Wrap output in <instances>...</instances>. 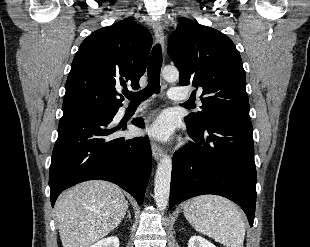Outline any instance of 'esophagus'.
<instances>
[{"instance_id":"1","label":"esophagus","mask_w":310,"mask_h":247,"mask_svg":"<svg viewBox=\"0 0 310 247\" xmlns=\"http://www.w3.org/2000/svg\"><path fill=\"white\" fill-rule=\"evenodd\" d=\"M153 31H154V34H155V38L156 40L161 44L163 45V42H164V32H163V27L161 25L160 22L158 21H155L153 23ZM151 150H152V155H153V158L158 161L160 159V157L162 156L163 154V151H162V148L157 144L155 143L154 141L151 143Z\"/></svg>"}]
</instances>
